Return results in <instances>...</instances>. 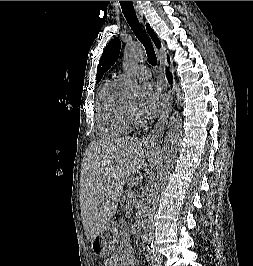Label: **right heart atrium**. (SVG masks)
<instances>
[{
  "instance_id": "right-heart-atrium-1",
  "label": "right heart atrium",
  "mask_w": 253,
  "mask_h": 266,
  "mask_svg": "<svg viewBox=\"0 0 253 266\" xmlns=\"http://www.w3.org/2000/svg\"><path fill=\"white\" fill-rule=\"evenodd\" d=\"M136 119H137L138 121H141V120H142V118H141L140 115H136Z\"/></svg>"
}]
</instances>
